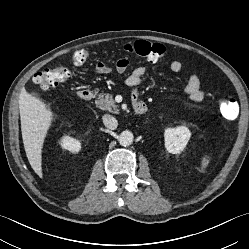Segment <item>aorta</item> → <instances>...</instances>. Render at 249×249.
I'll use <instances>...</instances> for the list:
<instances>
[{
	"instance_id": "aorta-1",
	"label": "aorta",
	"mask_w": 249,
	"mask_h": 249,
	"mask_svg": "<svg viewBox=\"0 0 249 249\" xmlns=\"http://www.w3.org/2000/svg\"><path fill=\"white\" fill-rule=\"evenodd\" d=\"M134 139L133 133L131 131L125 130L120 133L118 141L122 146H129L132 144Z\"/></svg>"
}]
</instances>
